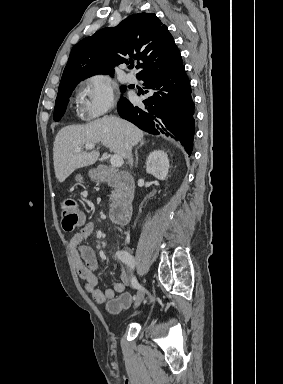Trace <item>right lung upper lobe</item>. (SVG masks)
I'll use <instances>...</instances> for the list:
<instances>
[{
  "mask_svg": "<svg viewBox=\"0 0 283 384\" xmlns=\"http://www.w3.org/2000/svg\"><path fill=\"white\" fill-rule=\"evenodd\" d=\"M141 60L136 75L143 80L183 64L172 35L154 13L133 14L115 28H104L77 43L64 69L60 85L79 83L114 66ZM59 85V86H60Z\"/></svg>",
  "mask_w": 283,
  "mask_h": 384,
  "instance_id": "1",
  "label": "right lung upper lobe"
}]
</instances>
